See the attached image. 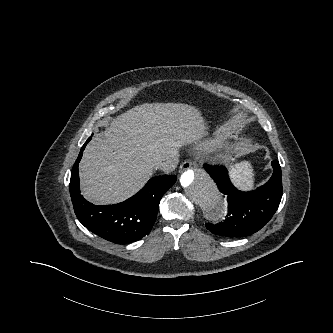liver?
I'll list each match as a JSON object with an SVG mask.
<instances>
[{"label": "liver", "mask_w": 333, "mask_h": 333, "mask_svg": "<svg viewBox=\"0 0 333 333\" xmlns=\"http://www.w3.org/2000/svg\"><path fill=\"white\" fill-rule=\"evenodd\" d=\"M201 112L182 103H146L112 119L86 146L79 165L82 195L116 204L137 193L155 164L206 134Z\"/></svg>", "instance_id": "obj_1"}]
</instances>
